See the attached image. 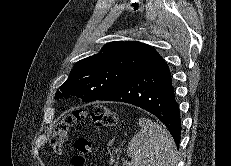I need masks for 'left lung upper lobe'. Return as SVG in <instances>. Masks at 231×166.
<instances>
[{
	"instance_id": "obj_1",
	"label": "left lung upper lobe",
	"mask_w": 231,
	"mask_h": 166,
	"mask_svg": "<svg viewBox=\"0 0 231 166\" xmlns=\"http://www.w3.org/2000/svg\"><path fill=\"white\" fill-rule=\"evenodd\" d=\"M160 55L151 46L137 41H115L98 54L78 61L55 98L74 95L92 102L146 68Z\"/></svg>"
}]
</instances>
